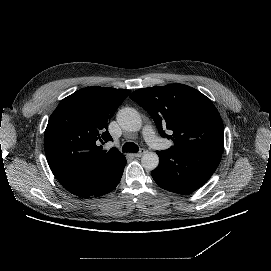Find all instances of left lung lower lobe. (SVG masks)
Here are the masks:
<instances>
[{
    "label": "left lung lower lobe",
    "instance_id": "left-lung-lower-lobe-1",
    "mask_svg": "<svg viewBox=\"0 0 271 271\" xmlns=\"http://www.w3.org/2000/svg\"><path fill=\"white\" fill-rule=\"evenodd\" d=\"M159 165L152 171L155 182L177 194H189L204 185L219 165L221 155L196 150L157 151Z\"/></svg>",
    "mask_w": 271,
    "mask_h": 271
}]
</instances>
